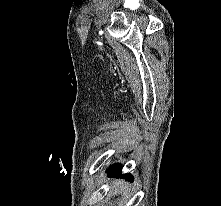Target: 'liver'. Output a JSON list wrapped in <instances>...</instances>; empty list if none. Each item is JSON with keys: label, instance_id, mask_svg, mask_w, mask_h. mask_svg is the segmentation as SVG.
Returning a JSON list of instances; mask_svg holds the SVG:
<instances>
[{"label": "liver", "instance_id": "6515ba94", "mask_svg": "<svg viewBox=\"0 0 221 206\" xmlns=\"http://www.w3.org/2000/svg\"><path fill=\"white\" fill-rule=\"evenodd\" d=\"M112 189H113V191H114L115 193L121 192L122 189H123V183H121V182H120V183H119V182H115V184L113 185Z\"/></svg>", "mask_w": 221, "mask_h": 206}]
</instances>
